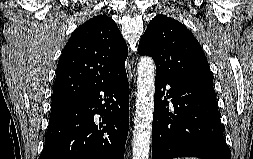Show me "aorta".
<instances>
[{
	"label": "aorta",
	"mask_w": 253,
	"mask_h": 159,
	"mask_svg": "<svg viewBox=\"0 0 253 159\" xmlns=\"http://www.w3.org/2000/svg\"><path fill=\"white\" fill-rule=\"evenodd\" d=\"M137 98L133 132V159H148L154 111L155 65L142 57L137 67Z\"/></svg>",
	"instance_id": "1"
}]
</instances>
